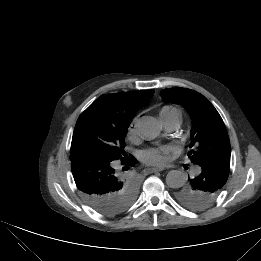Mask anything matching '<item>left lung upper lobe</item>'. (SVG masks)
I'll list each match as a JSON object with an SVG mask.
<instances>
[{"label": "left lung upper lobe", "mask_w": 261, "mask_h": 261, "mask_svg": "<svg viewBox=\"0 0 261 261\" xmlns=\"http://www.w3.org/2000/svg\"><path fill=\"white\" fill-rule=\"evenodd\" d=\"M162 99L182 105L192 118L189 146L194 149L188 156L194 164L200 165L210 159L230 162V142L225 124L214 106L203 95L191 89L171 88L163 90ZM221 190L214 196H207L187 183L177 190L176 199L191 209L201 210L212 204Z\"/></svg>", "instance_id": "obj_1"}]
</instances>
